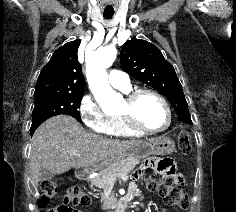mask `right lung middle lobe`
<instances>
[{
	"instance_id": "right-lung-middle-lobe-1",
	"label": "right lung middle lobe",
	"mask_w": 236,
	"mask_h": 212,
	"mask_svg": "<svg viewBox=\"0 0 236 212\" xmlns=\"http://www.w3.org/2000/svg\"><path fill=\"white\" fill-rule=\"evenodd\" d=\"M34 97L35 107L30 128L31 134L46 119L59 114L70 115L81 122L78 109L83 93H50Z\"/></svg>"
}]
</instances>
